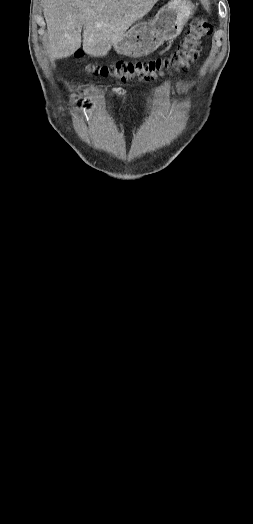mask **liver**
Returning a JSON list of instances; mask_svg holds the SVG:
<instances>
[{
  "instance_id": "6515ba94",
  "label": "liver",
  "mask_w": 253,
  "mask_h": 524,
  "mask_svg": "<svg viewBox=\"0 0 253 524\" xmlns=\"http://www.w3.org/2000/svg\"><path fill=\"white\" fill-rule=\"evenodd\" d=\"M158 0H45L47 52L62 59L81 47L93 56L106 55Z\"/></svg>"
}]
</instances>
